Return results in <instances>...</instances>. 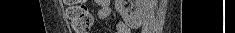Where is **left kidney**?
<instances>
[{
	"label": "left kidney",
	"instance_id": "5707ae66",
	"mask_svg": "<svg viewBox=\"0 0 235 33\" xmlns=\"http://www.w3.org/2000/svg\"><path fill=\"white\" fill-rule=\"evenodd\" d=\"M125 4L126 0H115V10L120 14L127 25H140L148 10L149 0H135L133 10L125 8Z\"/></svg>",
	"mask_w": 235,
	"mask_h": 33
}]
</instances>
